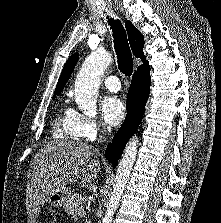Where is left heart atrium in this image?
<instances>
[{
  "mask_svg": "<svg viewBox=\"0 0 221 223\" xmlns=\"http://www.w3.org/2000/svg\"><path fill=\"white\" fill-rule=\"evenodd\" d=\"M103 120L106 124L116 126L124 119L126 109L117 97L106 98L101 105Z\"/></svg>",
  "mask_w": 221,
  "mask_h": 223,
  "instance_id": "39dd6f15",
  "label": "left heart atrium"
}]
</instances>
